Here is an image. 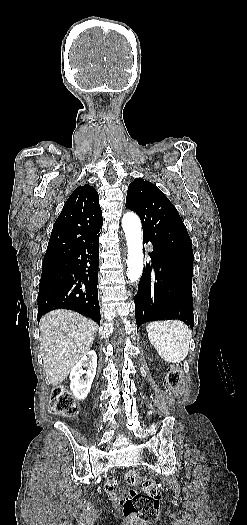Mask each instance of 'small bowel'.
Instances as JSON below:
<instances>
[{
    "label": "small bowel",
    "mask_w": 247,
    "mask_h": 525,
    "mask_svg": "<svg viewBox=\"0 0 247 525\" xmlns=\"http://www.w3.org/2000/svg\"><path fill=\"white\" fill-rule=\"evenodd\" d=\"M106 486H107V487H106V490H107V492L110 493V494L115 493L116 490H117V487H116V486H117V483H116V481L113 480V479L108 480L107 483H106Z\"/></svg>",
    "instance_id": "c3829d8e"
}]
</instances>
